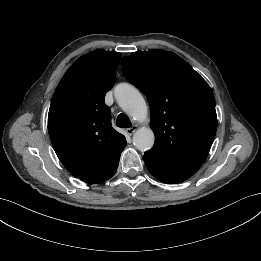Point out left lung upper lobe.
<instances>
[{
	"mask_svg": "<svg viewBox=\"0 0 261 261\" xmlns=\"http://www.w3.org/2000/svg\"><path fill=\"white\" fill-rule=\"evenodd\" d=\"M121 65L149 101L155 143L147 152L201 166L217 129L215 98L206 81L178 55L159 49L131 53Z\"/></svg>",
	"mask_w": 261,
	"mask_h": 261,
	"instance_id": "1",
	"label": "left lung upper lobe"
}]
</instances>
